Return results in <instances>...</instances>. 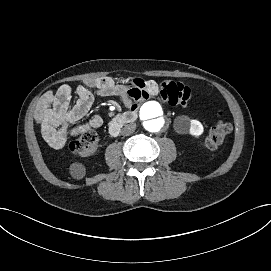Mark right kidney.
<instances>
[{"label":"right kidney","mask_w":271,"mask_h":271,"mask_svg":"<svg viewBox=\"0 0 271 271\" xmlns=\"http://www.w3.org/2000/svg\"><path fill=\"white\" fill-rule=\"evenodd\" d=\"M70 172L73 178L81 179L85 176V167L80 163H73L70 166Z\"/></svg>","instance_id":"right-kidney-1"}]
</instances>
